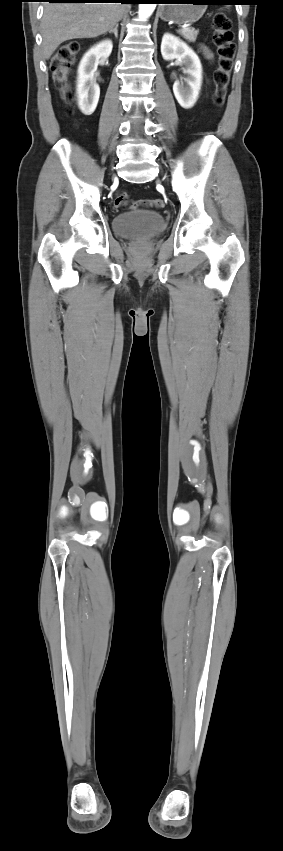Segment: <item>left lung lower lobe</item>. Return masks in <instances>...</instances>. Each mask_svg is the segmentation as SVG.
I'll return each mask as SVG.
<instances>
[{
	"instance_id": "0a47b994",
	"label": "left lung lower lobe",
	"mask_w": 283,
	"mask_h": 851,
	"mask_svg": "<svg viewBox=\"0 0 283 851\" xmlns=\"http://www.w3.org/2000/svg\"><path fill=\"white\" fill-rule=\"evenodd\" d=\"M143 1L144 2L147 1V2H150V3L162 4V3H166L167 1H170V0H143ZM215 1L218 2V3H222V4L223 3L224 4H233L234 2H238V0H215Z\"/></svg>"
}]
</instances>
